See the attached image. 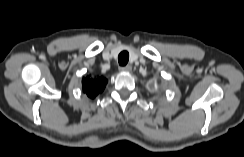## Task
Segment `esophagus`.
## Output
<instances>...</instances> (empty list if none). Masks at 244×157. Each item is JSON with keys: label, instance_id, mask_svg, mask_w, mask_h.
<instances>
[{"label": "esophagus", "instance_id": "34e87169", "mask_svg": "<svg viewBox=\"0 0 244 157\" xmlns=\"http://www.w3.org/2000/svg\"><path fill=\"white\" fill-rule=\"evenodd\" d=\"M119 70L121 72H130L132 70V67H131V65H126V66H123V67H119Z\"/></svg>", "mask_w": 244, "mask_h": 157}]
</instances>
